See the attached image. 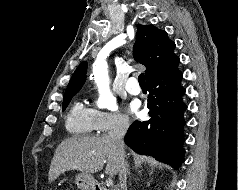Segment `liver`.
Returning <instances> with one entry per match:
<instances>
[{"mask_svg": "<svg viewBox=\"0 0 238 190\" xmlns=\"http://www.w3.org/2000/svg\"><path fill=\"white\" fill-rule=\"evenodd\" d=\"M119 151L108 136L72 137L64 140L55 150L48 174L49 182L69 170L93 174L103 169L105 173H119Z\"/></svg>", "mask_w": 238, "mask_h": 190, "instance_id": "liver-1", "label": "liver"}]
</instances>
